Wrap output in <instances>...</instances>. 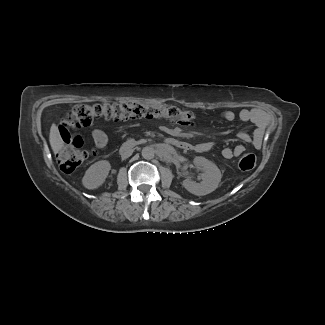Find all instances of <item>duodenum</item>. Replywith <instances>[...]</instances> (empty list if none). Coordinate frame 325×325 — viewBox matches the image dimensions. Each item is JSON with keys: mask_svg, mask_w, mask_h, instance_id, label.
I'll list each match as a JSON object with an SVG mask.
<instances>
[{"mask_svg": "<svg viewBox=\"0 0 325 325\" xmlns=\"http://www.w3.org/2000/svg\"><path fill=\"white\" fill-rule=\"evenodd\" d=\"M165 143L172 146V147H176V148H180V149H189L190 148V144L186 141L177 139V138H173V137H168L165 140ZM133 142L131 141H127L122 145V150L123 151H128L129 149H131L133 147Z\"/></svg>", "mask_w": 325, "mask_h": 325, "instance_id": "410a0bca", "label": "duodenum"}]
</instances>
